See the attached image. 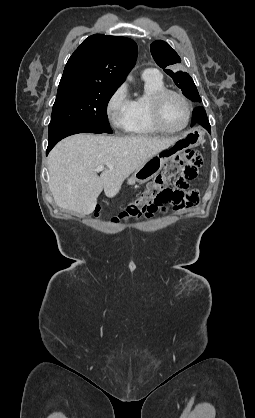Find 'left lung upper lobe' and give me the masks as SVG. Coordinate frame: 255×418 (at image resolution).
<instances>
[{
    "label": "left lung upper lobe",
    "mask_w": 255,
    "mask_h": 418,
    "mask_svg": "<svg viewBox=\"0 0 255 418\" xmlns=\"http://www.w3.org/2000/svg\"><path fill=\"white\" fill-rule=\"evenodd\" d=\"M150 50L155 62L173 79L183 94L194 102H201L197 88L190 75L173 68L181 62V59L171 46L165 41L158 40L151 44ZM168 67L173 69H168Z\"/></svg>",
    "instance_id": "left-lung-upper-lobe-1"
}]
</instances>
